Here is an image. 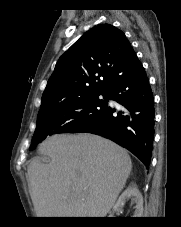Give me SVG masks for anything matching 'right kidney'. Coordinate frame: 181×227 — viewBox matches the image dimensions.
<instances>
[{
    "label": "right kidney",
    "mask_w": 181,
    "mask_h": 227,
    "mask_svg": "<svg viewBox=\"0 0 181 227\" xmlns=\"http://www.w3.org/2000/svg\"><path fill=\"white\" fill-rule=\"evenodd\" d=\"M131 198V201L135 203V211L133 217H142L143 214V197L137 186L131 184L126 190L119 196L118 201L113 207V211H119L125 204L126 200ZM114 212L112 214H114ZM113 215H111L112 217Z\"/></svg>",
    "instance_id": "obj_1"
}]
</instances>
